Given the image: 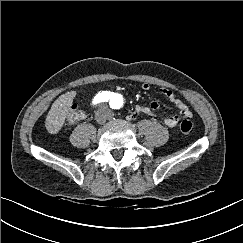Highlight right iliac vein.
<instances>
[{
  "label": "right iliac vein",
  "mask_w": 243,
  "mask_h": 243,
  "mask_svg": "<svg viewBox=\"0 0 243 243\" xmlns=\"http://www.w3.org/2000/svg\"><path fill=\"white\" fill-rule=\"evenodd\" d=\"M98 123H100V124L104 123V119H103L102 116L101 117H98Z\"/></svg>",
  "instance_id": "63e3f726"
}]
</instances>
